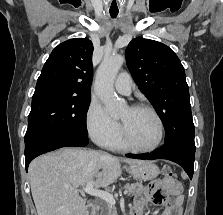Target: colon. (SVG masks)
I'll return each instance as SVG.
<instances>
[{"mask_svg": "<svg viewBox=\"0 0 223 215\" xmlns=\"http://www.w3.org/2000/svg\"><path fill=\"white\" fill-rule=\"evenodd\" d=\"M163 173L167 178L174 179L176 177L175 172L169 166L163 168Z\"/></svg>", "mask_w": 223, "mask_h": 215, "instance_id": "obj_1", "label": "colon"}]
</instances>
